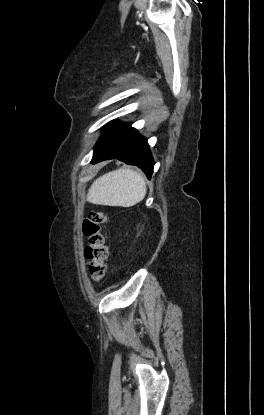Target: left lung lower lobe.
Wrapping results in <instances>:
<instances>
[{"label": "left lung lower lobe", "instance_id": "1", "mask_svg": "<svg viewBox=\"0 0 264 415\" xmlns=\"http://www.w3.org/2000/svg\"><path fill=\"white\" fill-rule=\"evenodd\" d=\"M119 159L136 165L148 178L153 173L154 161L147 140L129 123H109L94 147L92 162Z\"/></svg>", "mask_w": 264, "mask_h": 415}]
</instances>
